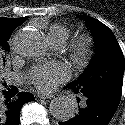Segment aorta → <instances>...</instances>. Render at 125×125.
Here are the masks:
<instances>
[{
	"mask_svg": "<svg viewBox=\"0 0 125 125\" xmlns=\"http://www.w3.org/2000/svg\"><path fill=\"white\" fill-rule=\"evenodd\" d=\"M19 52L24 56L38 58L43 56L48 50V43L45 35L38 31H29L22 34L19 41ZM51 115L57 120L66 121L72 118L76 111V106L68 97H58L51 101L49 107Z\"/></svg>",
	"mask_w": 125,
	"mask_h": 125,
	"instance_id": "762f6f07",
	"label": "aorta"
}]
</instances>
